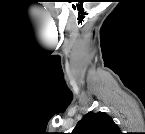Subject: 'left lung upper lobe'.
<instances>
[{"mask_svg": "<svg viewBox=\"0 0 145 134\" xmlns=\"http://www.w3.org/2000/svg\"><path fill=\"white\" fill-rule=\"evenodd\" d=\"M72 134H120V129L106 113L88 112L77 123Z\"/></svg>", "mask_w": 145, "mask_h": 134, "instance_id": "5c2ea615", "label": "left lung upper lobe"}]
</instances>
